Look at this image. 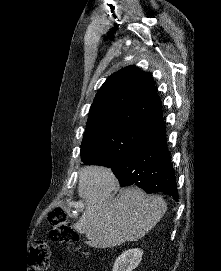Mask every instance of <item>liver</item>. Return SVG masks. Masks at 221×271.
Here are the masks:
<instances>
[{
  "label": "liver",
  "mask_w": 221,
  "mask_h": 271,
  "mask_svg": "<svg viewBox=\"0 0 221 271\" xmlns=\"http://www.w3.org/2000/svg\"><path fill=\"white\" fill-rule=\"evenodd\" d=\"M118 181L108 167L86 165L79 169L78 195L86 201L85 211L74 223L85 233L91 247H114L123 241H137L148 233L167 205L162 195H146L140 187H126L112 197Z\"/></svg>",
  "instance_id": "6515ba94"
}]
</instances>
